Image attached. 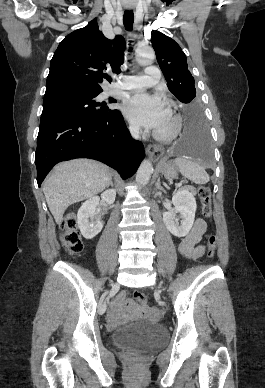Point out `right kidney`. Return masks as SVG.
<instances>
[{"instance_id":"right-kidney-1","label":"right kidney","mask_w":265,"mask_h":388,"mask_svg":"<svg viewBox=\"0 0 265 388\" xmlns=\"http://www.w3.org/2000/svg\"><path fill=\"white\" fill-rule=\"evenodd\" d=\"M116 198V190H106L101 194V200H105L107 204H114ZM99 196H93L86 200L78 210L77 224L78 228L86 240L95 238L103 228V222L100 216V210L96 208L99 206Z\"/></svg>"}]
</instances>
